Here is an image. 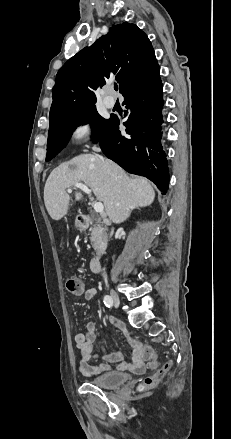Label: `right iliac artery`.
<instances>
[{
  "instance_id": "right-iliac-artery-1",
  "label": "right iliac artery",
  "mask_w": 231,
  "mask_h": 439,
  "mask_svg": "<svg viewBox=\"0 0 231 439\" xmlns=\"http://www.w3.org/2000/svg\"><path fill=\"white\" fill-rule=\"evenodd\" d=\"M103 301L106 307H111L113 305L112 298L109 295H105Z\"/></svg>"
}]
</instances>
